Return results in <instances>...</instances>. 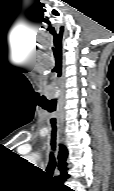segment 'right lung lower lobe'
<instances>
[{
	"instance_id": "obj_1",
	"label": "right lung lower lobe",
	"mask_w": 114,
	"mask_h": 191,
	"mask_svg": "<svg viewBox=\"0 0 114 191\" xmlns=\"http://www.w3.org/2000/svg\"><path fill=\"white\" fill-rule=\"evenodd\" d=\"M69 177L68 174L64 175L62 178H57V181L60 184L61 190L63 191H70V189L68 187H66L63 182Z\"/></svg>"
}]
</instances>
